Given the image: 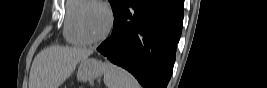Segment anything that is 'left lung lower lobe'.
<instances>
[{
  "instance_id": "left-lung-lower-lobe-1",
  "label": "left lung lower lobe",
  "mask_w": 267,
  "mask_h": 88,
  "mask_svg": "<svg viewBox=\"0 0 267 88\" xmlns=\"http://www.w3.org/2000/svg\"><path fill=\"white\" fill-rule=\"evenodd\" d=\"M183 20L181 0H128L97 50L144 88H166Z\"/></svg>"
}]
</instances>
